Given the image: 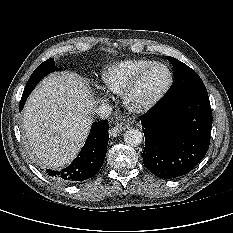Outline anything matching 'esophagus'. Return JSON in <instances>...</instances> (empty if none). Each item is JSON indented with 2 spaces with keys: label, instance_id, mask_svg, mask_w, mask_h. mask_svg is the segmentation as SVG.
Returning <instances> with one entry per match:
<instances>
[{
  "label": "esophagus",
  "instance_id": "34e87169",
  "mask_svg": "<svg viewBox=\"0 0 233 233\" xmlns=\"http://www.w3.org/2000/svg\"><path fill=\"white\" fill-rule=\"evenodd\" d=\"M129 128V124L126 122H119L117 123L111 130L110 134L116 136L120 131Z\"/></svg>",
  "mask_w": 233,
  "mask_h": 233
}]
</instances>
